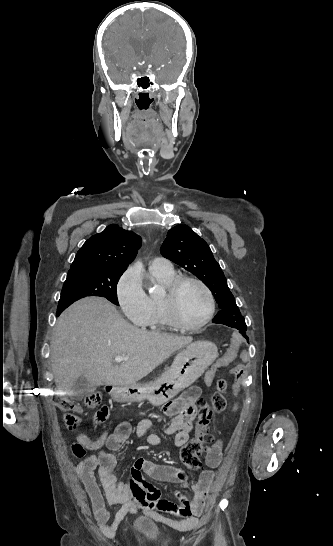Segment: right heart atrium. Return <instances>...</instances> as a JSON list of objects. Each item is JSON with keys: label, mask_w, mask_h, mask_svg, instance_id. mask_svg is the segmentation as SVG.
<instances>
[{"label": "right heart atrium", "mask_w": 333, "mask_h": 546, "mask_svg": "<svg viewBox=\"0 0 333 546\" xmlns=\"http://www.w3.org/2000/svg\"><path fill=\"white\" fill-rule=\"evenodd\" d=\"M115 295L118 305L128 320L138 325L145 323L150 314L149 298L134 269L126 270L119 278Z\"/></svg>", "instance_id": "obj_1"}]
</instances>
